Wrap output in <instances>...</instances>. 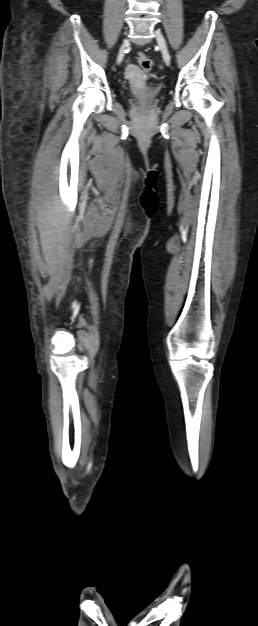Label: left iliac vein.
Segmentation results:
<instances>
[{
  "mask_svg": "<svg viewBox=\"0 0 258 626\" xmlns=\"http://www.w3.org/2000/svg\"><path fill=\"white\" fill-rule=\"evenodd\" d=\"M155 37H156L157 43H158V45L160 47V50L162 52V56H163L164 62L166 63L167 66H169L170 63H171V57H170V54H169V51H168L166 40H165L164 36L162 35V33L159 30L155 31Z\"/></svg>",
  "mask_w": 258,
  "mask_h": 626,
  "instance_id": "left-iliac-vein-1",
  "label": "left iliac vein"
}]
</instances>
